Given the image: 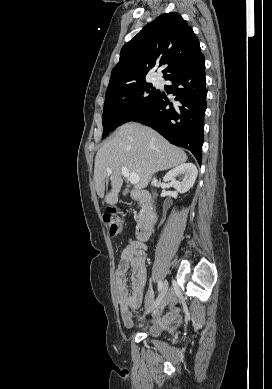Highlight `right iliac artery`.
<instances>
[{
	"instance_id": "82829eb1",
	"label": "right iliac artery",
	"mask_w": 272,
	"mask_h": 389,
	"mask_svg": "<svg viewBox=\"0 0 272 389\" xmlns=\"http://www.w3.org/2000/svg\"><path fill=\"white\" fill-rule=\"evenodd\" d=\"M162 286H163V282L161 280H159V282H158V291L159 292L161 291Z\"/></svg>"
}]
</instances>
